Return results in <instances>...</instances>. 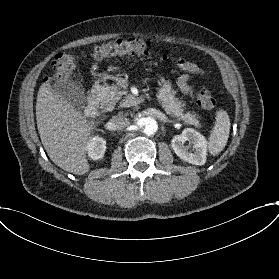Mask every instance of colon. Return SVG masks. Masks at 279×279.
<instances>
[{
  "mask_svg": "<svg viewBox=\"0 0 279 279\" xmlns=\"http://www.w3.org/2000/svg\"><path fill=\"white\" fill-rule=\"evenodd\" d=\"M147 42L141 39L115 40L102 43L90 51V59L102 61L115 56H147ZM163 56L162 59H166ZM53 69L57 72L55 78L62 79L73 73L76 65L75 58L68 52H59L52 61ZM198 103L202 109L216 112L218 106L212 93L202 88L197 93Z\"/></svg>",
  "mask_w": 279,
  "mask_h": 279,
  "instance_id": "obj_1",
  "label": "colon"
}]
</instances>
